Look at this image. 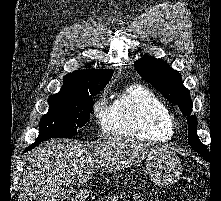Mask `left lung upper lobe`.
Masks as SVG:
<instances>
[{"label": "left lung upper lobe", "instance_id": "left-lung-upper-lobe-1", "mask_svg": "<svg viewBox=\"0 0 221 201\" xmlns=\"http://www.w3.org/2000/svg\"><path fill=\"white\" fill-rule=\"evenodd\" d=\"M134 65L143 79L151 83L169 102L177 105L187 116L189 144L205 160H209V151L197 136L196 116L191 115L193 106L190 93L184 87L179 72L173 70L166 62L147 55L136 61Z\"/></svg>", "mask_w": 221, "mask_h": 201}]
</instances>
